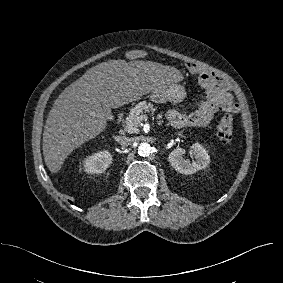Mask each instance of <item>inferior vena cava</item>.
Returning a JSON list of instances; mask_svg holds the SVG:
<instances>
[{"label":"inferior vena cava","mask_w":283,"mask_h":283,"mask_svg":"<svg viewBox=\"0 0 283 283\" xmlns=\"http://www.w3.org/2000/svg\"><path fill=\"white\" fill-rule=\"evenodd\" d=\"M116 140L123 147L129 146L131 144V142H132L131 138L126 137V136H118L116 138Z\"/></svg>","instance_id":"inferior-vena-cava-1"}]
</instances>
